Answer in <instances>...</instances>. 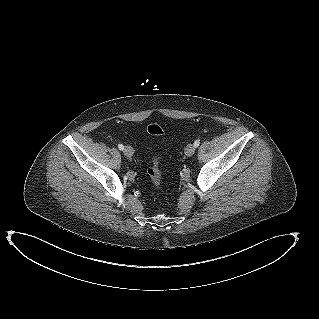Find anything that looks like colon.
<instances>
[{"label": "colon", "mask_w": 319, "mask_h": 319, "mask_svg": "<svg viewBox=\"0 0 319 319\" xmlns=\"http://www.w3.org/2000/svg\"><path fill=\"white\" fill-rule=\"evenodd\" d=\"M147 132L152 136H159L163 134V126L161 123H153L148 126ZM159 160V156H153L151 165L147 169V175L156 189L161 188V171L159 168Z\"/></svg>", "instance_id": "colon-1"}]
</instances>
